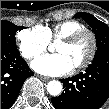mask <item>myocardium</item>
I'll list each match as a JSON object with an SVG mask.
<instances>
[{
	"label": "myocardium",
	"mask_w": 109,
	"mask_h": 109,
	"mask_svg": "<svg viewBox=\"0 0 109 109\" xmlns=\"http://www.w3.org/2000/svg\"><path fill=\"white\" fill-rule=\"evenodd\" d=\"M84 35H88L90 37V40H91L90 53L81 64L73 67V71H80V70L87 68L94 60L96 52H97L96 34L94 33V31L87 29V28H84V29H81L79 31L74 32L73 34H71L65 38L60 39L58 42V43L71 45V44L75 43L77 40H79Z\"/></svg>",
	"instance_id": "f54148a6"
}]
</instances>
